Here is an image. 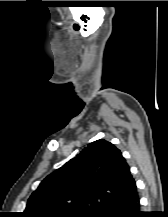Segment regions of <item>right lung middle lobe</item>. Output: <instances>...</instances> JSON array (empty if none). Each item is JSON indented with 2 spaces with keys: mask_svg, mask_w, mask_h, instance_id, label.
I'll return each mask as SVG.
<instances>
[{
  "mask_svg": "<svg viewBox=\"0 0 168 217\" xmlns=\"http://www.w3.org/2000/svg\"><path fill=\"white\" fill-rule=\"evenodd\" d=\"M65 217H92L90 215H75V216H65Z\"/></svg>",
  "mask_w": 168,
  "mask_h": 217,
  "instance_id": "obj_1",
  "label": "right lung middle lobe"
}]
</instances>
